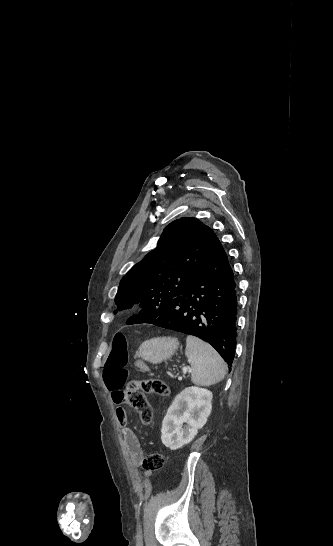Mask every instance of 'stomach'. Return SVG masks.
I'll list each match as a JSON object with an SVG mask.
<instances>
[{"instance_id":"0dacf381","label":"stomach","mask_w":333,"mask_h":546,"mask_svg":"<svg viewBox=\"0 0 333 546\" xmlns=\"http://www.w3.org/2000/svg\"><path fill=\"white\" fill-rule=\"evenodd\" d=\"M179 341L173 337H157L144 341L138 348L137 355L153 364L170 358L178 349Z\"/></svg>"}]
</instances>
